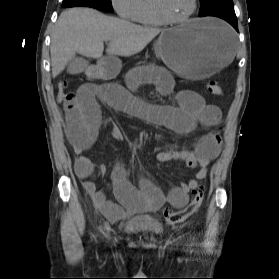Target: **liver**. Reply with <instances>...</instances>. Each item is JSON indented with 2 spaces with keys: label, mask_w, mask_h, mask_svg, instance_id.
I'll return each instance as SVG.
<instances>
[{
  "label": "liver",
  "mask_w": 279,
  "mask_h": 279,
  "mask_svg": "<svg viewBox=\"0 0 279 279\" xmlns=\"http://www.w3.org/2000/svg\"><path fill=\"white\" fill-rule=\"evenodd\" d=\"M162 29L135 25L91 8L63 11L51 37L52 76L56 77L76 53L100 59L104 41L109 40L108 57H129L141 52Z\"/></svg>",
  "instance_id": "1"
}]
</instances>
